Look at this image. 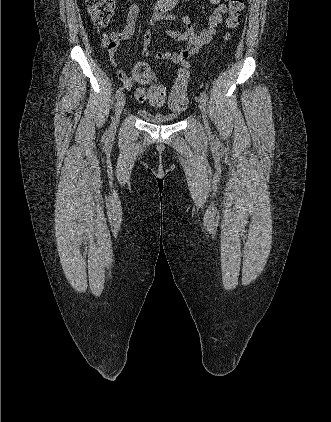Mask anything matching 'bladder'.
<instances>
[{"mask_svg": "<svg viewBox=\"0 0 331 422\" xmlns=\"http://www.w3.org/2000/svg\"><path fill=\"white\" fill-rule=\"evenodd\" d=\"M138 114L148 122L154 124H169L178 121V116L175 114L152 112L147 109H139Z\"/></svg>", "mask_w": 331, "mask_h": 422, "instance_id": "31cf9c89", "label": "bladder"}]
</instances>
